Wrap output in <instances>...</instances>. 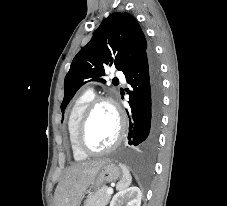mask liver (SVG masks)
Segmentation results:
<instances>
[{
    "label": "liver",
    "instance_id": "1",
    "mask_svg": "<svg viewBox=\"0 0 227 206\" xmlns=\"http://www.w3.org/2000/svg\"><path fill=\"white\" fill-rule=\"evenodd\" d=\"M106 159L88 161L69 167L54 195L55 206H79L83 193L94 181Z\"/></svg>",
    "mask_w": 227,
    "mask_h": 206
}]
</instances>
